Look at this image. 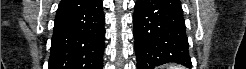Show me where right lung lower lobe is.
<instances>
[{"label": "right lung lower lobe", "mask_w": 246, "mask_h": 69, "mask_svg": "<svg viewBox=\"0 0 246 69\" xmlns=\"http://www.w3.org/2000/svg\"><path fill=\"white\" fill-rule=\"evenodd\" d=\"M101 0H62L52 36L49 69H103Z\"/></svg>", "instance_id": "right-lung-lower-lobe-1"}]
</instances>
